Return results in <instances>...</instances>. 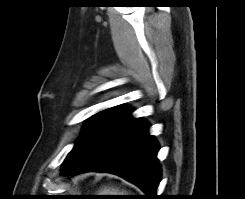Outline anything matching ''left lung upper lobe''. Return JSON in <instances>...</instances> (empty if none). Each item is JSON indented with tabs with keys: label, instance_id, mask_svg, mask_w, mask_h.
Masks as SVG:
<instances>
[{
	"label": "left lung upper lobe",
	"instance_id": "1",
	"mask_svg": "<svg viewBox=\"0 0 245 199\" xmlns=\"http://www.w3.org/2000/svg\"><path fill=\"white\" fill-rule=\"evenodd\" d=\"M127 107H113L106 110H103L97 114H95L84 126L82 138L79 139L74 148L67 155L61 166V172L67 169L69 166L73 164V162L78 158V156L82 153L85 146L88 142L100 131L102 130L108 123L113 121L117 116H119L122 112H124Z\"/></svg>",
	"mask_w": 245,
	"mask_h": 199
}]
</instances>
